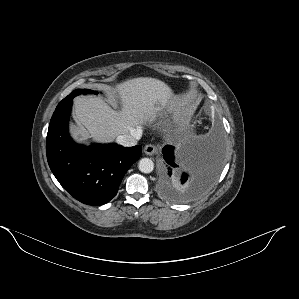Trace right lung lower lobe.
Here are the masks:
<instances>
[{
    "mask_svg": "<svg viewBox=\"0 0 299 299\" xmlns=\"http://www.w3.org/2000/svg\"><path fill=\"white\" fill-rule=\"evenodd\" d=\"M72 99L59 103L51 118L46 139L48 164L75 199L88 205H103L116 195L121 180L140 158L142 149L139 145L84 147L74 143L68 134Z\"/></svg>",
    "mask_w": 299,
    "mask_h": 299,
    "instance_id": "98d812e1",
    "label": "right lung lower lobe"
}]
</instances>
